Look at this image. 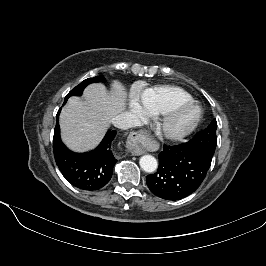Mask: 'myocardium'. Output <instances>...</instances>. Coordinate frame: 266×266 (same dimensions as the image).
<instances>
[{"label":"myocardium","mask_w":266,"mask_h":266,"mask_svg":"<svg viewBox=\"0 0 266 266\" xmlns=\"http://www.w3.org/2000/svg\"><path fill=\"white\" fill-rule=\"evenodd\" d=\"M193 111L190 121L182 128H175V122L186 112ZM203 116L202 107L195 101L179 104L162 114L157 121L158 135L167 141H181L191 135L201 122Z\"/></svg>","instance_id":"1"}]
</instances>
